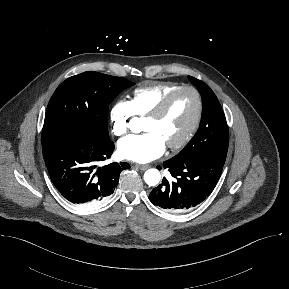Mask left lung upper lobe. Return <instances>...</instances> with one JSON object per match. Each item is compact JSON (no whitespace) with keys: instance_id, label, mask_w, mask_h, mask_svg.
Wrapping results in <instances>:
<instances>
[{"instance_id":"1","label":"left lung upper lobe","mask_w":289,"mask_h":289,"mask_svg":"<svg viewBox=\"0 0 289 289\" xmlns=\"http://www.w3.org/2000/svg\"><path fill=\"white\" fill-rule=\"evenodd\" d=\"M188 78L202 96V118L197 133L173 159L187 160L202 153L227 154L229 131L217 97L204 82L191 76Z\"/></svg>"}]
</instances>
